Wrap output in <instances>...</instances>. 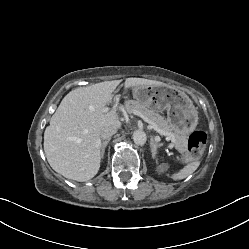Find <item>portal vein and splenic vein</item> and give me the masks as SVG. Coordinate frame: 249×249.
<instances>
[{"instance_id":"portal-vein-and-splenic-vein-1","label":"portal vein and splenic vein","mask_w":249,"mask_h":249,"mask_svg":"<svg viewBox=\"0 0 249 249\" xmlns=\"http://www.w3.org/2000/svg\"><path fill=\"white\" fill-rule=\"evenodd\" d=\"M135 115L139 116L140 118H142L145 122H147L150 126V129H154L155 131H157L160 135H164V136H168V139L171 140V142L174 144L175 143V139L174 136L159 129L157 127V125L151 121L148 117H146L145 115H143L141 112L139 111H134L133 112ZM156 139H159V137H156Z\"/></svg>"}]
</instances>
